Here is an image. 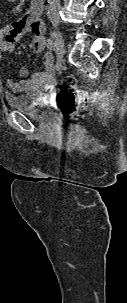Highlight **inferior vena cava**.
<instances>
[{
	"label": "inferior vena cava",
	"instance_id": "602c4592",
	"mask_svg": "<svg viewBox=\"0 0 127 303\" xmlns=\"http://www.w3.org/2000/svg\"><path fill=\"white\" fill-rule=\"evenodd\" d=\"M59 9H60V0H52L48 8V18L58 21L59 20Z\"/></svg>",
	"mask_w": 127,
	"mask_h": 303
}]
</instances>
